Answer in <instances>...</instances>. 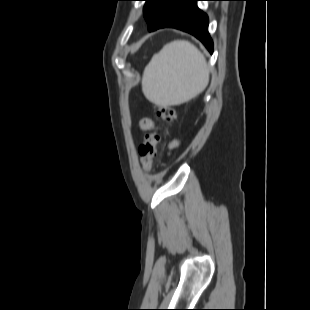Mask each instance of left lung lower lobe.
<instances>
[{"instance_id": "0a47b994", "label": "left lung lower lobe", "mask_w": 310, "mask_h": 310, "mask_svg": "<svg viewBox=\"0 0 310 310\" xmlns=\"http://www.w3.org/2000/svg\"><path fill=\"white\" fill-rule=\"evenodd\" d=\"M197 1L201 0H190L175 19L165 27L176 28L194 35L212 53L213 42L208 33V16L197 7Z\"/></svg>"}]
</instances>
